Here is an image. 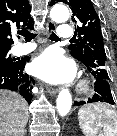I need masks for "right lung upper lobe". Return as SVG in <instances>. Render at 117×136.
<instances>
[{
  "label": "right lung upper lobe",
  "mask_w": 117,
  "mask_h": 136,
  "mask_svg": "<svg viewBox=\"0 0 117 136\" xmlns=\"http://www.w3.org/2000/svg\"><path fill=\"white\" fill-rule=\"evenodd\" d=\"M30 11L28 0H0V52L10 50L12 30L31 24Z\"/></svg>",
  "instance_id": "right-lung-upper-lobe-1"
}]
</instances>
